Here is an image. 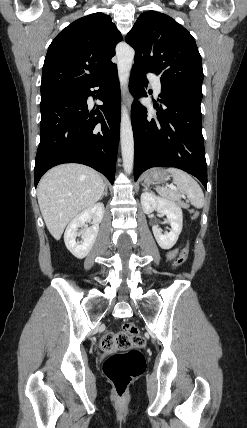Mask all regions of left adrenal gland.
<instances>
[{"mask_svg": "<svg viewBox=\"0 0 247 428\" xmlns=\"http://www.w3.org/2000/svg\"><path fill=\"white\" fill-rule=\"evenodd\" d=\"M142 186L144 187V190H149V187L146 184H142Z\"/></svg>", "mask_w": 247, "mask_h": 428, "instance_id": "a2214340", "label": "left adrenal gland"}]
</instances>
